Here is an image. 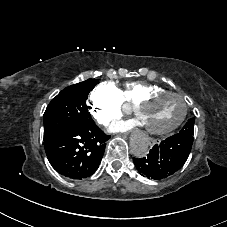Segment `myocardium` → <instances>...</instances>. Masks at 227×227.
Listing matches in <instances>:
<instances>
[{
    "instance_id": "f54148a6",
    "label": "myocardium",
    "mask_w": 227,
    "mask_h": 227,
    "mask_svg": "<svg viewBox=\"0 0 227 227\" xmlns=\"http://www.w3.org/2000/svg\"><path fill=\"white\" fill-rule=\"evenodd\" d=\"M163 95H173V96H176L179 99H181L182 102H183V105H184L183 113H182L181 117L178 119V121L175 124H173L171 127H169L168 129L161 130V131L146 130V133L148 135L161 137V136L167 135L169 133H172L175 130H177L187 118L189 107H188V102H187L186 96L184 94H182L181 92L171 91V90H163V91L153 92V93L147 94V95L143 96L142 98H140L134 104V116H135V118L137 119V113H138V110L140 109L141 106H143V105L151 102L152 100H155V99H157V98H159Z\"/></svg>"
}]
</instances>
